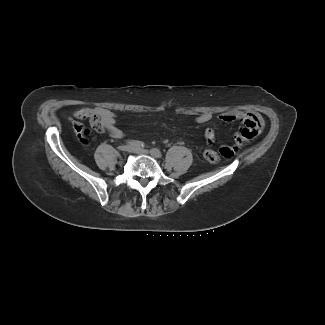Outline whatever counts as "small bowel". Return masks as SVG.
<instances>
[{
	"mask_svg": "<svg viewBox=\"0 0 325 325\" xmlns=\"http://www.w3.org/2000/svg\"><path fill=\"white\" fill-rule=\"evenodd\" d=\"M212 115L208 112H202L196 117L199 124H207L211 121ZM222 122L234 123L239 122V128L233 134V145H222L220 153L224 158H231L236 152L244 147L248 142L254 139L260 132L263 120L254 112H225L219 117ZM80 121H88L92 130L103 133L107 132L115 139H122L124 134L116 124V116L113 111L104 107H83L74 113L73 126L76 134L82 141H86L85 136L88 134ZM205 141L208 145H213L216 141L215 131L211 128L206 129L204 133Z\"/></svg>",
	"mask_w": 325,
	"mask_h": 325,
	"instance_id": "1",
	"label": "small bowel"
}]
</instances>
